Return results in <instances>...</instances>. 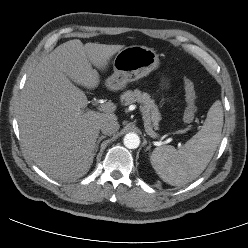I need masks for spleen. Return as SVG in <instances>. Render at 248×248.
Wrapping results in <instances>:
<instances>
[{
  "label": "spleen",
  "instance_id": "1",
  "mask_svg": "<svg viewBox=\"0 0 248 248\" xmlns=\"http://www.w3.org/2000/svg\"><path fill=\"white\" fill-rule=\"evenodd\" d=\"M223 110L213 103L201 128L179 149L161 146L153 150L150 162L159 177L172 186L195 180L207 167L221 139Z\"/></svg>",
  "mask_w": 248,
  "mask_h": 248
}]
</instances>
